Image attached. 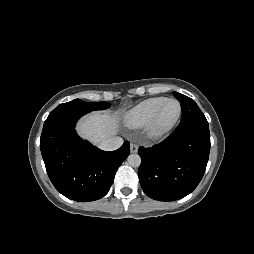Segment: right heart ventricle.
I'll use <instances>...</instances> for the list:
<instances>
[{
	"mask_svg": "<svg viewBox=\"0 0 254 254\" xmlns=\"http://www.w3.org/2000/svg\"><path fill=\"white\" fill-rule=\"evenodd\" d=\"M165 99L164 97H156L140 102L125 113V125L134 129L146 126Z\"/></svg>",
	"mask_w": 254,
	"mask_h": 254,
	"instance_id": "e07e8e85",
	"label": "right heart ventricle"
}]
</instances>
